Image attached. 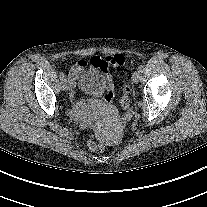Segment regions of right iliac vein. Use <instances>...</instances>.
<instances>
[{
	"label": "right iliac vein",
	"instance_id": "obj_1",
	"mask_svg": "<svg viewBox=\"0 0 207 207\" xmlns=\"http://www.w3.org/2000/svg\"><path fill=\"white\" fill-rule=\"evenodd\" d=\"M62 89L64 91H67L69 89V84H68V81L66 79H62Z\"/></svg>",
	"mask_w": 207,
	"mask_h": 207
}]
</instances>
